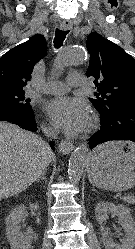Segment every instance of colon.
<instances>
[{
	"mask_svg": "<svg viewBox=\"0 0 135 249\" xmlns=\"http://www.w3.org/2000/svg\"><path fill=\"white\" fill-rule=\"evenodd\" d=\"M0 249H3L2 246H1V244H0Z\"/></svg>",
	"mask_w": 135,
	"mask_h": 249,
	"instance_id": "5ec220e1",
	"label": "colon"
}]
</instances>
